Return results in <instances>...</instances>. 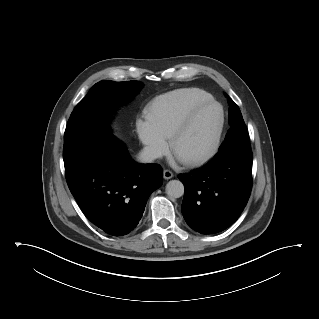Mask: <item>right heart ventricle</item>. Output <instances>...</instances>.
Returning a JSON list of instances; mask_svg holds the SVG:
<instances>
[{
	"label": "right heart ventricle",
	"mask_w": 319,
	"mask_h": 319,
	"mask_svg": "<svg viewBox=\"0 0 319 319\" xmlns=\"http://www.w3.org/2000/svg\"><path fill=\"white\" fill-rule=\"evenodd\" d=\"M212 99L200 88H182L155 97L147 107L146 119L165 138L185 119L197 104Z\"/></svg>",
	"instance_id": "right-heart-ventricle-1"
}]
</instances>
